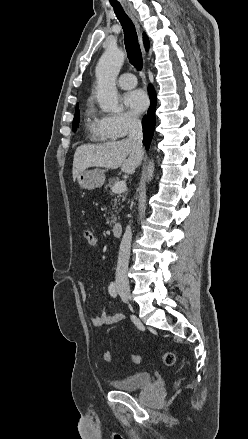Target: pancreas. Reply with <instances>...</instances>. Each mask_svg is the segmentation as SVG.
Returning a JSON list of instances; mask_svg holds the SVG:
<instances>
[{"label":"pancreas","mask_w":248,"mask_h":439,"mask_svg":"<svg viewBox=\"0 0 248 439\" xmlns=\"http://www.w3.org/2000/svg\"><path fill=\"white\" fill-rule=\"evenodd\" d=\"M117 182H119V179L118 178H111L110 180H109V183L105 186V190L108 188V187H112L115 183H117ZM119 201H120V199H117V198H115L114 199V204H113V209H115V208H117V204L119 203ZM112 218H113V220L110 222V224H114L115 222H116V218H115V215L114 214H112ZM107 223H109L108 221H107Z\"/></svg>","instance_id":"pancreas-1"}]
</instances>
